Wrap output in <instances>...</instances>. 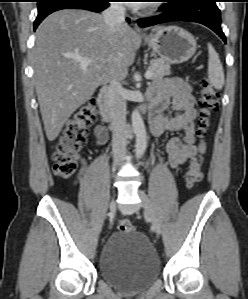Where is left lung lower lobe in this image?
I'll return each mask as SVG.
<instances>
[{
  "label": "left lung lower lobe",
  "mask_w": 248,
  "mask_h": 299,
  "mask_svg": "<svg viewBox=\"0 0 248 299\" xmlns=\"http://www.w3.org/2000/svg\"><path fill=\"white\" fill-rule=\"evenodd\" d=\"M164 12L155 17L138 20L140 27H148L169 21H188L203 24L212 29L226 43L221 29V14L217 0H166Z\"/></svg>",
  "instance_id": "left-lung-lower-lobe-1"
}]
</instances>
